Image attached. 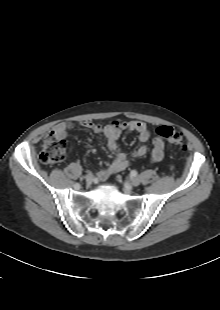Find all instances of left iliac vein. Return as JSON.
<instances>
[{
	"mask_svg": "<svg viewBox=\"0 0 220 310\" xmlns=\"http://www.w3.org/2000/svg\"><path fill=\"white\" fill-rule=\"evenodd\" d=\"M130 183L132 186H138L140 184V179L139 178H131Z\"/></svg>",
	"mask_w": 220,
	"mask_h": 310,
	"instance_id": "left-iliac-vein-1",
	"label": "left iliac vein"
}]
</instances>
